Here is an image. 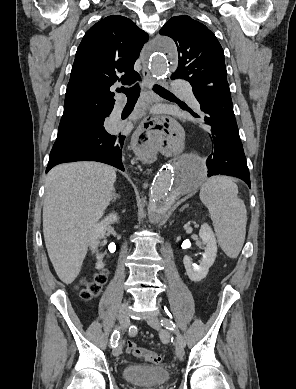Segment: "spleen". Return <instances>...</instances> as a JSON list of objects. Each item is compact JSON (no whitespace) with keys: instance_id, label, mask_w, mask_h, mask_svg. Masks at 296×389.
Masks as SVG:
<instances>
[{"instance_id":"1","label":"spleen","mask_w":296,"mask_h":389,"mask_svg":"<svg viewBox=\"0 0 296 389\" xmlns=\"http://www.w3.org/2000/svg\"><path fill=\"white\" fill-rule=\"evenodd\" d=\"M237 195V185L224 176L207 179L199 194L209 210L218 244L230 258L239 255L246 235L247 211Z\"/></svg>"}]
</instances>
